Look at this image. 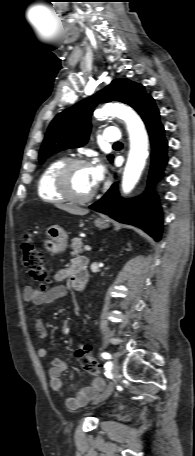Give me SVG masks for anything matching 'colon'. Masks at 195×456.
<instances>
[{"instance_id": "1", "label": "colon", "mask_w": 195, "mask_h": 456, "mask_svg": "<svg viewBox=\"0 0 195 456\" xmlns=\"http://www.w3.org/2000/svg\"><path fill=\"white\" fill-rule=\"evenodd\" d=\"M22 260L31 278L40 283L41 289H46L48 274L45 259L42 253L33 243L30 236L24 237L22 241ZM75 357L83 372L96 376L99 373V365L92 355L89 344H80L75 351Z\"/></svg>"}]
</instances>
